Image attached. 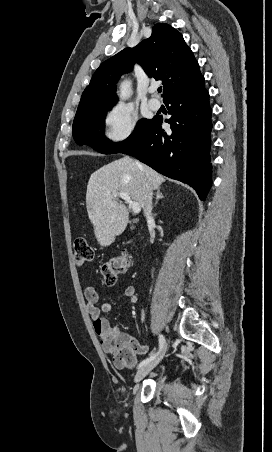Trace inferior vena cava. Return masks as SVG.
I'll return each mask as SVG.
<instances>
[{"instance_id": "602c4592", "label": "inferior vena cava", "mask_w": 272, "mask_h": 452, "mask_svg": "<svg viewBox=\"0 0 272 452\" xmlns=\"http://www.w3.org/2000/svg\"><path fill=\"white\" fill-rule=\"evenodd\" d=\"M144 215L146 217V219H151L152 218V198H153V189L152 187L148 184L145 183L144 184Z\"/></svg>"}]
</instances>
